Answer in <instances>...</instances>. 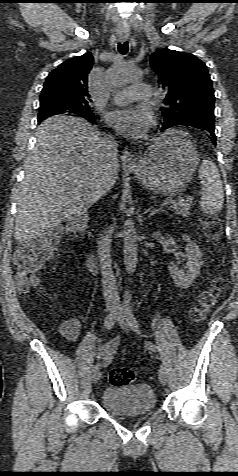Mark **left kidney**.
<instances>
[{
    "mask_svg": "<svg viewBox=\"0 0 238 476\" xmlns=\"http://www.w3.org/2000/svg\"><path fill=\"white\" fill-rule=\"evenodd\" d=\"M183 240L186 244V271L179 270L175 263L169 265V272L174 283L180 288H188L192 284L193 280L200 273L201 266L203 265L202 253L196 243L190 240L189 236L183 235Z\"/></svg>",
    "mask_w": 238,
    "mask_h": 476,
    "instance_id": "obj_1",
    "label": "left kidney"
}]
</instances>
